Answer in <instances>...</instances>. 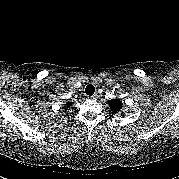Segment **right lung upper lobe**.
Here are the masks:
<instances>
[{"label":"right lung upper lobe","instance_id":"right-lung-upper-lobe-1","mask_svg":"<svg viewBox=\"0 0 179 179\" xmlns=\"http://www.w3.org/2000/svg\"><path fill=\"white\" fill-rule=\"evenodd\" d=\"M71 104H72L71 102H70V103H67V104H66V106H67V107H70V106H71Z\"/></svg>","mask_w":179,"mask_h":179}]
</instances>
